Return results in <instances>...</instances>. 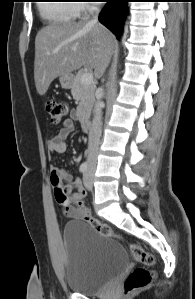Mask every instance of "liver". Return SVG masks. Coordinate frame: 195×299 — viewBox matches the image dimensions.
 Here are the masks:
<instances>
[{"label": "liver", "mask_w": 195, "mask_h": 299, "mask_svg": "<svg viewBox=\"0 0 195 299\" xmlns=\"http://www.w3.org/2000/svg\"><path fill=\"white\" fill-rule=\"evenodd\" d=\"M115 45L114 35L101 24L65 22L42 28L35 39L34 79L39 95L61 75L81 68L94 69L100 77Z\"/></svg>", "instance_id": "6515ba94"}]
</instances>
